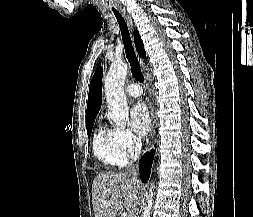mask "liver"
Segmentation results:
<instances>
[{
    "label": "liver",
    "instance_id": "obj_1",
    "mask_svg": "<svg viewBox=\"0 0 253 217\" xmlns=\"http://www.w3.org/2000/svg\"><path fill=\"white\" fill-rule=\"evenodd\" d=\"M142 184L126 172H106L95 177L92 204L95 217H117L123 210L132 217L139 204Z\"/></svg>",
    "mask_w": 253,
    "mask_h": 217
}]
</instances>
